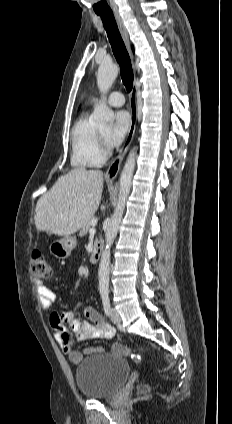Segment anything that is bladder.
I'll list each match as a JSON object with an SVG mask.
<instances>
[{"mask_svg": "<svg viewBox=\"0 0 232 424\" xmlns=\"http://www.w3.org/2000/svg\"><path fill=\"white\" fill-rule=\"evenodd\" d=\"M131 369L127 360L106 353L84 358L75 371L76 386L88 399H106L127 382Z\"/></svg>", "mask_w": 232, "mask_h": 424, "instance_id": "obj_1", "label": "bladder"}]
</instances>
